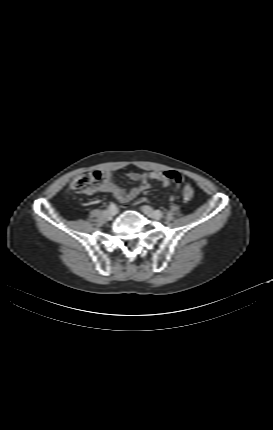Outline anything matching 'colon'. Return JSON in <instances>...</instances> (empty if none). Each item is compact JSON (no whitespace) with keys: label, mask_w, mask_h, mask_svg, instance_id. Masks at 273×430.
Instances as JSON below:
<instances>
[{"label":"colon","mask_w":273,"mask_h":430,"mask_svg":"<svg viewBox=\"0 0 273 430\" xmlns=\"http://www.w3.org/2000/svg\"><path fill=\"white\" fill-rule=\"evenodd\" d=\"M102 178V174L98 171L87 170L78 174L70 185V192L74 194H88L95 190L96 185ZM195 191L193 187L186 186L183 191L185 200L193 198Z\"/></svg>","instance_id":"colon-1"}]
</instances>
